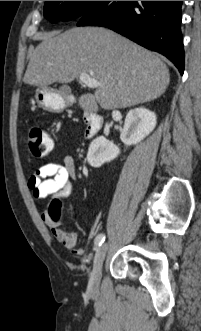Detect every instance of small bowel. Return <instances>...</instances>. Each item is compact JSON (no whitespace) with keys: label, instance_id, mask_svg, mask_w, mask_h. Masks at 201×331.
Listing matches in <instances>:
<instances>
[{"label":"small bowel","instance_id":"1","mask_svg":"<svg viewBox=\"0 0 201 331\" xmlns=\"http://www.w3.org/2000/svg\"><path fill=\"white\" fill-rule=\"evenodd\" d=\"M75 173L72 156H66L61 164L49 162L40 166L28 179V187L37 200H46L48 205L67 199L73 190L70 181ZM43 221L50 227L54 237L75 255L84 254V249L77 248L78 236L60 228L62 218L49 211L42 213Z\"/></svg>","mask_w":201,"mask_h":331}]
</instances>
